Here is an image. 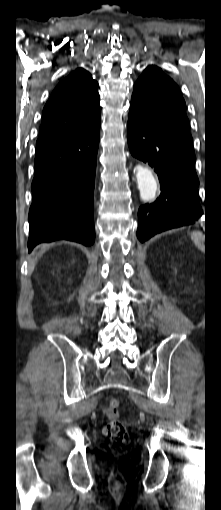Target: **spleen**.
I'll list each match as a JSON object with an SVG mask.
<instances>
[{
  "mask_svg": "<svg viewBox=\"0 0 221 510\" xmlns=\"http://www.w3.org/2000/svg\"><path fill=\"white\" fill-rule=\"evenodd\" d=\"M191 238L194 242V244L201 250L204 249V236L197 231H194L191 233Z\"/></svg>",
  "mask_w": 221,
  "mask_h": 510,
  "instance_id": "1",
  "label": "spleen"
}]
</instances>
